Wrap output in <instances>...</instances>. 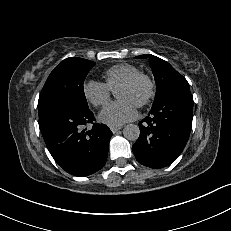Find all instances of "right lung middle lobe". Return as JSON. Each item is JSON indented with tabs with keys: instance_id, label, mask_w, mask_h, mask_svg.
Returning a JSON list of instances; mask_svg holds the SVG:
<instances>
[{
	"instance_id": "obj_1",
	"label": "right lung middle lobe",
	"mask_w": 231,
	"mask_h": 231,
	"mask_svg": "<svg viewBox=\"0 0 231 231\" xmlns=\"http://www.w3.org/2000/svg\"><path fill=\"white\" fill-rule=\"evenodd\" d=\"M94 62L70 57L59 63L50 73L38 100L39 116L61 106L86 109L83 83Z\"/></svg>"
}]
</instances>
